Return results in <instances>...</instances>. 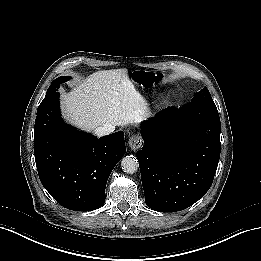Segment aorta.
<instances>
[{
	"mask_svg": "<svg viewBox=\"0 0 261 261\" xmlns=\"http://www.w3.org/2000/svg\"><path fill=\"white\" fill-rule=\"evenodd\" d=\"M121 168L125 173L133 174L139 169V162L134 156H125L121 160Z\"/></svg>",
	"mask_w": 261,
	"mask_h": 261,
	"instance_id": "1",
	"label": "aorta"
}]
</instances>
